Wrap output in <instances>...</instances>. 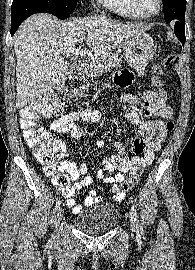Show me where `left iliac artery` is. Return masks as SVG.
Masks as SVG:
<instances>
[{
  "label": "left iliac artery",
  "mask_w": 195,
  "mask_h": 270,
  "mask_svg": "<svg viewBox=\"0 0 195 270\" xmlns=\"http://www.w3.org/2000/svg\"><path fill=\"white\" fill-rule=\"evenodd\" d=\"M131 214H132V216H133V218H134V221L136 222V227H137V229H139L138 214H137V212H136V209H135L134 205H132V207H131Z\"/></svg>",
  "instance_id": "1"
}]
</instances>
